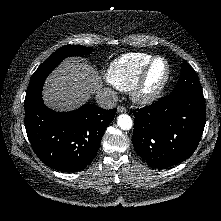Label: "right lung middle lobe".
Returning a JSON list of instances; mask_svg holds the SVG:
<instances>
[{"label":"right lung middle lobe","instance_id":"right-lung-middle-lobe-1","mask_svg":"<svg viewBox=\"0 0 221 221\" xmlns=\"http://www.w3.org/2000/svg\"><path fill=\"white\" fill-rule=\"evenodd\" d=\"M92 48L80 46V45H65L56 50L48 59H46L33 74L27 93L32 92L34 89L41 86L46 77L52 72V70L58 66V64L66 57L81 56L89 54Z\"/></svg>","mask_w":221,"mask_h":221}]
</instances>
